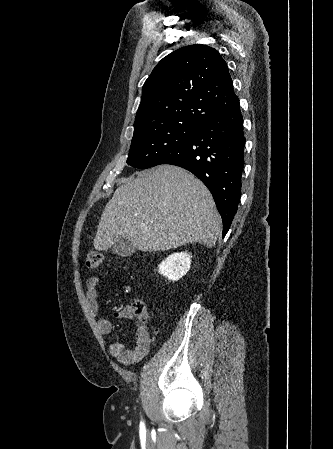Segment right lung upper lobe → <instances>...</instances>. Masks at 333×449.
Returning <instances> with one entry per match:
<instances>
[{"label":"right lung upper lobe","instance_id":"obj_1","mask_svg":"<svg viewBox=\"0 0 333 449\" xmlns=\"http://www.w3.org/2000/svg\"><path fill=\"white\" fill-rule=\"evenodd\" d=\"M238 102L218 51L202 44L183 47L164 57L145 81L133 137L169 123L202 126Z\"/></svg>","mask_w":333,"mask_h":449}]
</instances>
